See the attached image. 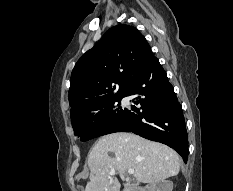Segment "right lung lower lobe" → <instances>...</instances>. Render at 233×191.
I'll return each mask as SVG.
<instances>
[{
	"label": "right lung lower lobe",
	"mask_w": 233,
	"mask_h": 191,
	"mask_svg": "<svg viewBox=\"0 0 233 191\" xmlns=\"http://www.w3.org/2000/svg\"><path fill=\"white\" fill-rule=\"evenodd\" d=\"M126 96H137L134 102L141 105V111L127 109L105 134L133 132L146 139L164 143L175 149L186 163L188 137L182 108L166 72L154 55L127 90Z\"/></svg>",
	"instance_id": "right-lung-lower-lobe-1"
}]
</instances>
